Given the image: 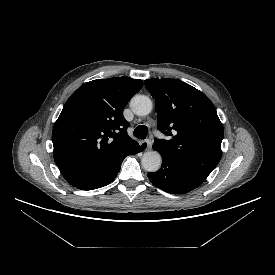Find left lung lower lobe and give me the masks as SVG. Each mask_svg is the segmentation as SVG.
I'll return each mask as SVG.
<instances>
[{
	"mask_svg": "<svg viewBox=\"0 0 275 275\" xmlns=\"http://www.w3.org/2000/svg\"><path fill=\"white\" fill-rule=\"evenodd\" d=\"M162 165L156 172H149V180L157 187L172 194H184L200 186L205 175L161 154Z\"/></svg>",
	"mask_w": 275,
	"mask_h": 275,
	"instance_id": "obj_1",
	"label": "left lung lower lobe"
}]
</instances>
